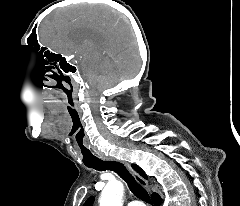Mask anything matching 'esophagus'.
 Instances as JSON below:
<instances>
[{"mask_svg":"<svg viewBox=\"0 0 240 206\" xmlns=\"http://www.w3.org/2000/svg\"><path fill=\"white\" fill-rule=\"evenodd\" d=\"M103 160L105 161H118L117 159L113 158V157H103ZM125 164V166L128 168V170L132 173V175L134 176V178L136 179V181L143 186L144 188H146L147 190H150L149 185H148V181L145 180L143 177H141L136 171H134L131 167V165L127 162H123Z\"/></svg>","mask_w":240,"mask_h":206,"instance_id":"1","label":"esophagus"}]
</instances>
